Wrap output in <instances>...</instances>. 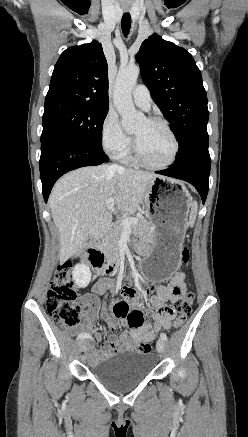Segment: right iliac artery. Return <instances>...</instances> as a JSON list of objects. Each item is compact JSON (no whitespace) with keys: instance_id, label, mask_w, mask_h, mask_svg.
<instances>
[{"instance_id":"right-iliac-artery-1","label":"right iliac artery","mask_w":248,"mask_h":437,"mask_svg":"<svg viewBox=\"0 0 248 437\" xmlns=\"http://www.w3.org/2000/svg\"><path fill=\"white\" fill-rule=\"evenodd\" d=\"M78 339L91 338V336L87 333H80L77 337Z\"/></svg>"}]
</instances>
